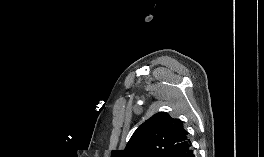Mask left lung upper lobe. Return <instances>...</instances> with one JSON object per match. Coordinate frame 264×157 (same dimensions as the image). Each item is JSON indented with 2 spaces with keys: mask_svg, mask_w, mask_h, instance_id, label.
Instances as JSON below:
<instances>
[{
  "mask_svg": "<svg viewBox=\"0 0 264 157\" xmlns=\"http://www.w3.org/2000/svg\"><path fill=\"white\" fill-rule=\"evenodd\" d=\"M192 145L179 119L159 112L140 125L124 150L111 157H190Z\"/></svg>",
  "mask_w": 264,
  "mask_h": 157,
  "instance_id": "obj_1",
  "label": "left lung upper lobe"
}]
</instances>
